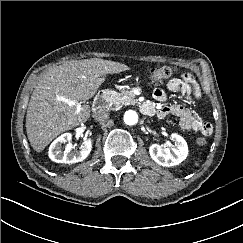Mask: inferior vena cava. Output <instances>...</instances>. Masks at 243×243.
I'll list each match as a JSON object with an SVG mask.
<instances>
[{
  "instance_id": "inferior-vena-cava-1",
  "label": "inferior vena cava",
  "mask_w": 243,
  "mask_h": 243,
  "mask_svg": "<svg viewBox=\"0 0 243 243\" xmlns=\"http://www.w3.org/2000/svg\"><path fill=\"white\" fill-rule=\"evenodd\" d=\"M109 111L107 109L104 108H100L97 111L94 112L93 117L97 120V121H105L109 118Z\"/></svg>"
}]
</instances>
